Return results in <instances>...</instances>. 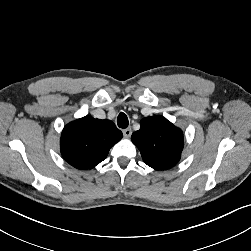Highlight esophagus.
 <instances>
[{
    "label": "esophagus",
    "mask_w": 251,
    "mask_h": 251,
    "mask_svg": "<svg viewBox=\"0 0 251 251\" xmlns=\"http://www.w3.org/2000/svg\"><path fill=\"white\" fill-rule=\"evenodd\" d=\"M132 134V130L131 128H126L123 130V135L126 137V138H129Z\"/></svg>",
    "instance_id": "obj_1"
}]
</instances>
